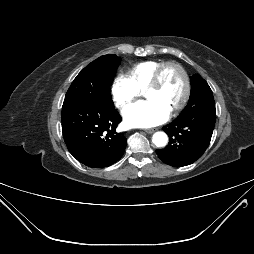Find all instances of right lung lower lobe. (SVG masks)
<instances>
[{
	"instance_id": "98d812e1",
	"label": "right lung lower lobe",
	"mask_w": 254,
	"mask_h": 254,
	"mask_svg": "<svg viewBox=\"0 0 254 254\" xmlns=\"http://www.w3.org/2000/svg\"><path fill=\"white\" fill-rule=\"evenodd\" d=\"M63 138L70 153L88 167L112 165L123 155L127 140L116 132L121 116L114 109L64 100Z\"/></svg>"
}]
</instances>
